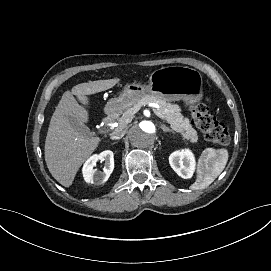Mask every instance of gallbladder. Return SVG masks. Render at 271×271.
<instances>
[{"label":"gallbladder","mask_w":271,"mask_h":271,"mask_svg":"<svg viewBox=\"0 0 271 271\" xmlns=\"http://www.w3.org/2000/svg\"><path fill=\"white\" fill-rule=\"evenodd\" d=\"M71 119H72V121H71L72 125H73L75 128H77L78 131H80L81 129H83V133H85L84 126H80V125L78 124V122L76 121V119H74V118H71Z\"/></svg>","instance_id":"bac80fb5"}]
</instances>
